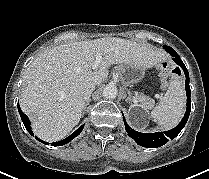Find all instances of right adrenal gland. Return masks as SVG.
<instances>
[{"label":"right adrenal gland","mask_w":209,"mask_h":179,"mask_svg":"<svg viewBox=\"0 0 209 179\" xmlns=\"http://www.w3.org/2000/svg\"><path fill=\"white\" fill-rule=\"evenodd\" d=\"M90 101H91V99H90V97H89L88 100L86 101V104H85V107H84V111H83V115H84V113H85V111H86V108H87V106L89 105Z\"/></svg>","instance_id":"2a0ac1e0"}]
</instances>
